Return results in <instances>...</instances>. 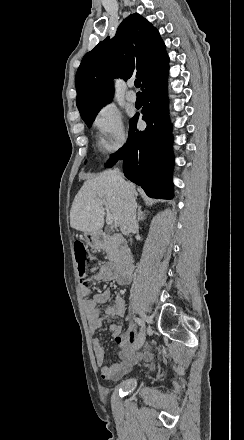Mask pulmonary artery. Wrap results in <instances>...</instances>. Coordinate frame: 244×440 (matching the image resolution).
I'll return each instance as SVG.
<instances>
[{
	"label": "pulmonary artery",
	"mask_w": 244,
	"mask_h": 440,
	"mask_svg": "<svg viewBox=\"0 0 244 440\" xmlns=\"http://www.w3.org/2000/svg\"><path fill=\"white\" fill-rule=\"evenodd\" d=\"M126 99H127L129 102H135V101H136V95H135V93L132 92V91H129V92L126 94Z\"/></svg>",
	"instance_id": "e3ab8cb5"
}]
</instances>
